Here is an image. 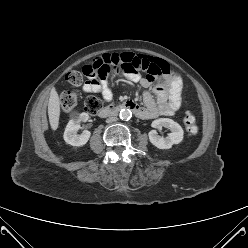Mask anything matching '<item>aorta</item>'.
<instances>
[{"label": "aorta", "instance_id": "1", "mask_svg": "<svg viewBox=\"0 0 248 248\" xmlns=\"http://www.w3.org/2000/svg\"><path fill=\"white\" fill-rule=\"evenodd\" d=\"M119 116L122 120H129L132 117V112L130 109H121Z\"/></svg>", "mask_w": 248, "mask_h": 248}]
</instances>
